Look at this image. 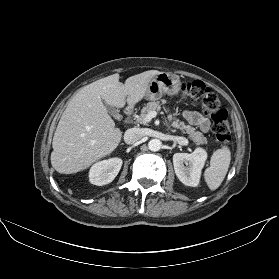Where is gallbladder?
Instances as JSON below:
<instances>
[{
    "mask_svg": "<svg viewBox=\"0 0 279 279\" xmlns=\"http://www.w3.org/2000/svg\"><path fill=\"white\" fill-rule=\"evenodd\" d=\"M106 108L108 109V112L110 113V115H112L115 119L121 118V115L119 114V111L117 109L108 105L107 103H106Z\"/></svg>",
    "mask_w": 279,
    "mask_h": 279,
    "instance_id": "gallbladder-1",
    "label": "gallbladder"
}]
</instances>
